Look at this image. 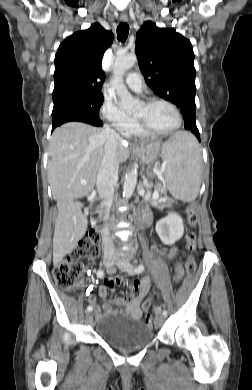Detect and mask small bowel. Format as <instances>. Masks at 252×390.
Here are the masks:
<instances>
[{"label":"small bowel","instance_id":"obj_1","mask_svg":"<svg viewBox=\"0 0 252 390\" xmlns=\"http://www.w3.org/2000/svg\"><path fill=\"white\" fill-rule=\"evenodd\" d=\"M141 215L146 222H149L150 215L146 209H142ZM177 255V251L175 248L170 249L166 254V258L171 260L174 259ZM182 277L181 270L177 269L176 275L174 277V281L178 282ZM125 282V279L122 276H118L115 279H109L104 282L103 285L99 287L98 293L99 296L103 299L101 307L97 305L96 297L94 295H90L88 297V301L90 306L95 308V318L97 320L102 319L105 316H117V315H125L134 320H140L144 314H146L149 310V306L145 305L141 306L142 300L148 294L150 290V277L145 276L140 281L135 283L137 287L138 293L136 295L130 294L124 297L114 298L112 300H107L108 289L114 292L115 284H121ZM114 306H117L115 308Z\"/></svg>","mask_w":252,"mask_h":390}]
</instances>
